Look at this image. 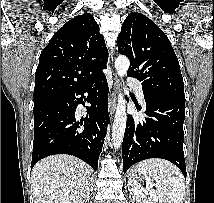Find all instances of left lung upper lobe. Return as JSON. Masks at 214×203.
<instances>
[{"label": "left lung upper lobe", "instance_id": "5c2ea615", "mask_svg": "<svg viewBox=\"0 0 214 203\" xmlns=\"http://www.w3.org/2000/svg\"><path fill=\"white\" fill-rule=\"evenodd\" d=\"M118 52L130 58L127 75L142 82L144 95L185 100L177 56L165 33L145 15L131 12L117 38Z\"/></svg>", "mask_w": 214, "mask_h": 203}]
</instances>
